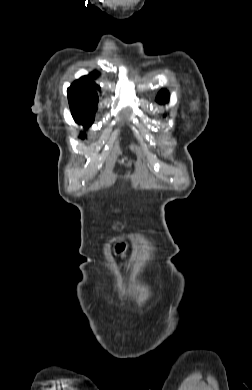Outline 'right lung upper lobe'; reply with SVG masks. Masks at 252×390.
Wrapping results in <instances>:
<instances>
[{
	"label": "right lung upper lobe",
	"mask_w": 252,
	"mask_h": 390,
	"mask_svg": "<svg viewBox=\"0 0 252 390\" xmlns=\"http://www.w3.org/2000/svg\"><path fill=\"white\" fill-rule=\"evenodd\" d=\"M97 73H91L76 80L67 90L71 112L91 111L97 109L99 89L93 79Z\"/></svg>",
	"instance_id": "cb5924a9"
}]
</instances>
